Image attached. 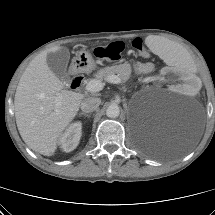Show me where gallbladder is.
Listing matches in <instances>:
<instances>
[{
  "label": "gallbladder",
  "mask_w": 215,
  "mask_h": 215,
  "mask_svg": "<svg viewBox=\"0 0 215 215\" xmlns=\"http://www.w3.org/2000/svg\"><path fill=\"white\" fill-rule=\"evenodd\" d=\"M69 58L70 53L66 48H60L56 52H49L46 58L48 67L65 84L70 81V76L67 71Z\"/></svg>",
  "instance_id": "1"
}]
</instances>
